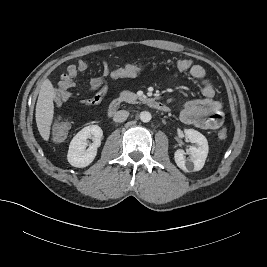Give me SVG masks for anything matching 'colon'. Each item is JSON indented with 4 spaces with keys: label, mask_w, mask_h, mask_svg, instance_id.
I'll list each match as a JSON object with an SVG mask.
<instances>
[{
    "label": "colon",
    "mask_w": 267,
    "mask_h": 267,
    "mask_svg": "<svg viewBox=\"0 0 267 267\" xmlns=\"http://www.w3.org/2000/svg\"><path fill=\"white\" fill-rule=\"evenodd\" d=\"M192 66V62L188 59L178 60L174 68L176 72L182 73L188 71ZM147 67L141 63H130L123 65L110 71L107 77V80H117L122 78H133L146 70ZM71 125L67 119H59L52 124L51 127V138L55 142H61L67 138ZM228 132L226 128H222L218 132V138L224 140L227 138Z\"/></svg>",
    "instance_id": "1"
}]
</instances>
